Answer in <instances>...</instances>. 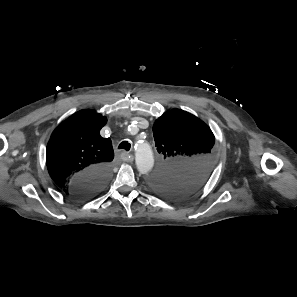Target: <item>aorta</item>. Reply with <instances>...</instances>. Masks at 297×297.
I'll return each instance as SVG.
<instances>
[{
    "mask_svg": "<svg viewBox=\"0 0 297 297\" xmlns=\"http://www.w3.org/2000/svg\"><path fill=\"white\" fill-rule=\"evenodd\" d=\"M136 166L140 174L147 175L153 168L154 157L147 143L137 144L135 150Z\"/></svg>",
    "mask_w": 297,
    "mask_h": 297,
    "instance_id": "762f6f07",
    "label": "aorta"
}]
</instances>
